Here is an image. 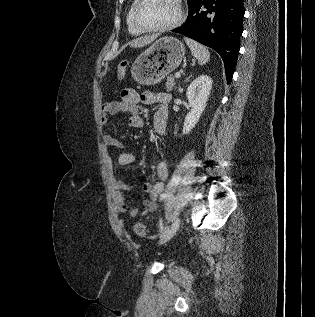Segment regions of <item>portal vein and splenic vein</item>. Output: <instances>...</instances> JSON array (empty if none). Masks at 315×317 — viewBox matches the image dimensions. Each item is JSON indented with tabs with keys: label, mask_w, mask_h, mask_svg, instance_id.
Segmentation results:
<instances>
[{
	"label": "portal vein and splenic vein",
	"mask_w": 315,
	"mask_h": 317,
	"mask_svg": "<svg viewBox=\"0 0 315 317\" xmlns=\"http://www.w3.org/2000/svg\"><path fill=\"white\" fill-rule=\"evenodd\" d=\"M175 77H176V78H180V77H181V73H180V72H176V73H175Z\"/></svg>",
	"instance_id": "1"
}]
</instances>
